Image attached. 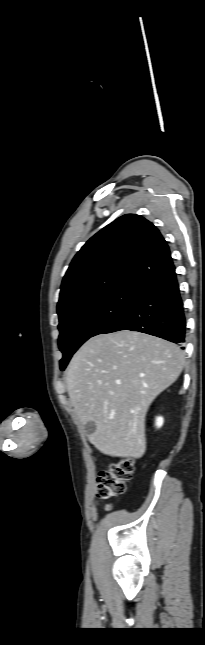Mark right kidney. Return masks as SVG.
<instances>
[{
    "label": "right kidney",
    "instance_id": "obj_1",
    "mask_svg": "<svg viewBox=\"0 0 205 645\" xmlns=\"http://www.w3.org/2000/svg\"><path fill=\"white\" fill-rule=\"evenodd\" d=\"M163 425V418L162 417H157L156 418V426L161 427Z\"/></svg>",
    "mask_w": 205,
    "mask_h": 645
}]
</instances>
